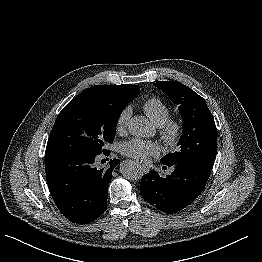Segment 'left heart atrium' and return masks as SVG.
Listing matches in <instances>:
<instances>
[{"label":"left heart atrium","instance_id":"left-heart-atrium-1","mask_svg":"<svg viewBox=\"0 0 262 262\" xmlns=\"http://www.w3.org/2000/svg\"><path fill=\"white\" fill-rule=\"evenodd\" d=\"M120 151L122 154L126 156L138 160H146L150 156L158 155L160 148L159 145L153 141L135 138L123 142L120 145Z\"/></svg>","mask_w":262,"mask_h":262}]
</instances>
